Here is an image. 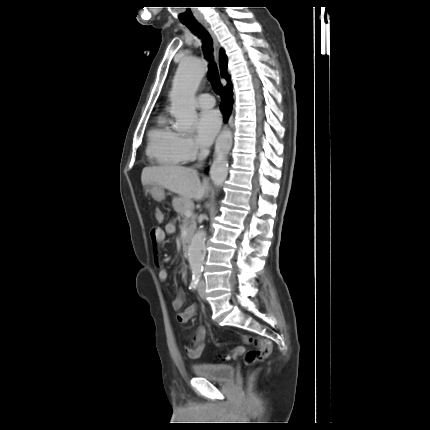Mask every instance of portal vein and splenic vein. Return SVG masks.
<instances>
[{
  "mask_svg": "<svg viewBox=\"0 0 430 430\" xmlns=\"http://www.w3.org/2000/svg\"><path fill=\"white\" fill-rule=\"evenodd\" d=\"M185 216H186V218L192 217L193 216V211L192 210H186L185 211Z\"/></svg>",
  "mask_w": 430,
  "mask_h": 430,
  "instance_id": "obj_1",
  "label": "portal vein and splenic vein"
}]
</instances>
